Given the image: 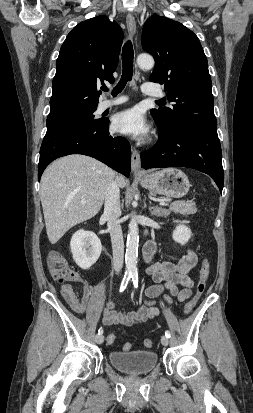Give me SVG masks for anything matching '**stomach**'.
Wrapping results in <instances>:
<instances>
[{
    "mask_svg": "<svg viewBox=\"0 0 253 413\" xmlns=\"http://www.w3.org/2000/svg\"><path fill=\"white\" fill-rule=\"evenodd\" d=\"M140 183L153 193L174 198L185 196L190 188L188 177L177 168H165L146 174L140 177Z\"/></svg>",
    "mask_w": 253,
    "mask_h": 413,
    "instance_id": "0dacf381",
    "label": "stomach"
}]
</instances>
